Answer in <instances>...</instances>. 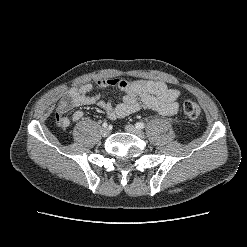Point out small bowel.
<instances>
[{"label":"small bowel","instance_id":"1","mask_svg":"<svg viewBox=\"0 0 247 247\" xmlns=\"http://www.w3.org/2000/svg\"><path fill=\"white\" fill-rule=\"evenodd\" d=\"M99 89L117 87L124 92L122 99L113 103L102 99L100 94L89 95L94 89L92 84L73 86L66 91L57 105V122L67 127L71 120L76 122L83 117L81 110H76L71 118L66 113L73 108L95 105L111 119L123 118L140 110L156 112L161 115H174L178 111L180 91L169 87L165 82L145 79L124 80L118 78L102 79L96 82Z\"/></svg>","mask_w":247,"mask_h":247}]
</instances>
